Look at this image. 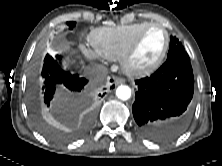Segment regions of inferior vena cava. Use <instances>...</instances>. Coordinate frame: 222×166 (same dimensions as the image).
Segmentation results:
<instances>
[{
    "mask_svg": "<svg viewBox=\"0 0 222 166\" xmlns=\"http://www.w3.org/2000/svg\"><path fill=\"white\" fill-rule=\"evenodd\" d=\"M107 74L108 69L103 65H90L85 70V76L96 82L102 81Z\"/></svg>",
    "mask_w": 222,
    "mask_h": 166,
    "instance_id": "obj_1",
    "label": "inferior vena cava"
}]
</instances>
